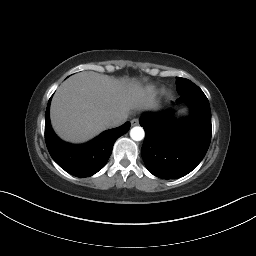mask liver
Wrapping results in <instances>:
<instances>
[{
	"label": "liver",
	"mask_w": 256,
	"mask_h": 256,
	"mask_svg": "<svg viewBox=\"0 0 256 256\" xmlns=\"http://www.w3.org/2000/svg\"><path fill=\"white\" fill-rule=\"evenodd\" d=\"M156 105L155 93L135 80L85 71L69 77L57 89L50 119L59 137L80 143L108 129L116 118Z\"/></svg>",
	"instance_id": "6515ba94"
}]
</instances>
